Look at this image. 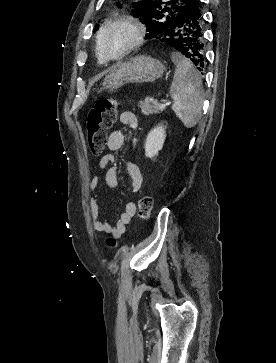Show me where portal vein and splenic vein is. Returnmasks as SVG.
Wrapping results in <instances>:
<instances>
[{
	"label": "portal vein and splenic vein",
	"instance_id": "1",
	"mask_svg": "<svg viewBox=\"0 0 276 363\" xmlns=\"http://www.w3.org/2000/svg\"><path fill=\"white\" fill-rule=\"evenodd\" d=\"M171 102H163V103H161L160 104V107L162 108V109H165L166 108V106L167 105H169Z\"/></svg>",
	"mask_w": 276,
	"mask_h": 363
}]
</instances>
